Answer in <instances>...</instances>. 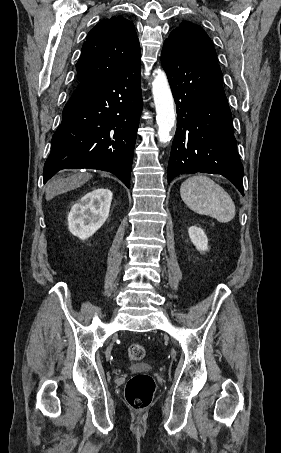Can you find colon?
<instances>
[{"label": "colon", "mask_w": 281, "mask_h": 453, "mask_svg": "<svg viewBox=\"0 0 281 453\" xmlns=\"http://www.w3.org/2000/svg\"><path fill=\"white\" fill-rule=\"evenodd\" d=\"M132 363H142L145 359V348L141 344L132 345L127 352ZM155 390L154 380L149 374H132L125 387L124 395L129 408L136 412L147 410L152 402Z\"/></svg>", "instance_id": "colon-1"}]
</instances>
